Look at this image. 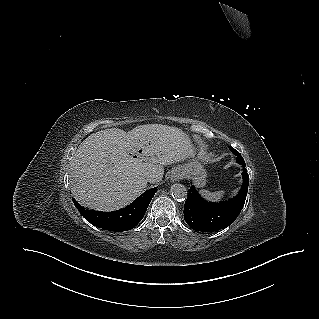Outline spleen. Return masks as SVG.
Returning <instances> with one entry per match:
<instances>
[{"instance_id": "obj_1", "label": "spleen", "mask_w": 319, "mask_h": 319, "mask_svg": "<svg viewBox=\"0 0 319 319\" xmlns=\"http://www.w3.org/2000/svg\"><path fill=\"white\" fill-rule=\"evenodd\" d=\"M200 193L207 200L218 202L223 198L225 191L221 190L216 192H210L208 190L203 189L200 191Z\"/></svg>"}]
</instances>
